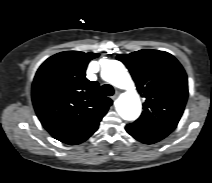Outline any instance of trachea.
<instances>
[{
	"instance_id": "3493384b",
	"label": "trachea",
	"mask_w": 212,
	"mask_h": 183,
	"mask_svg": "<svg viewBox=\"0 0 212 183\" xmlns=\"http://www.w3.org/2000/svg\"><path fill=\"white\" fill-rule=\"evenodd\" d=\"M102 91L106 96H112L114 94V88L109 84H104L102 86Z\"/></svg>"
}]
</instances>
